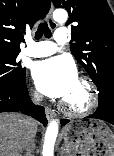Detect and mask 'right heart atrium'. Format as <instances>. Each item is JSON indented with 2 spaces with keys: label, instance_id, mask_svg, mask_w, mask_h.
<instances>
[{
  "label": "right heart atrium",
  "instance_id": "1",
  "mask_svg": "<svg viewBox=\"0 0 114 156\" xmlns=\"http://www.w3.org/2000/svg\"><path fill=\"white\" fill-rule=\"evenodd\" d=\"M32 97L35 101H39L41 99L40 94L35 91L32 93Z\"/></svg>",
  "mask_w": 114,
  "mask_h": 156
}]
</instances>
